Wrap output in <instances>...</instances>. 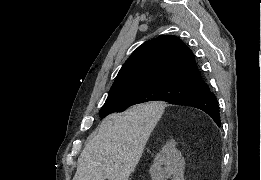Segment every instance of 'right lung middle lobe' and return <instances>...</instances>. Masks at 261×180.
Returning a JSON list of instances; mask_svg holds the SVG:
<instances>
[{
	"label": "right lung middle lobe",
	"mask_w": 261,
	"mask_h": 180,
	"mask_svg": "<svg viewBox=\"0 0 261 180\" xmlns=\"http://www.w3.org/2000/svg\"><path fill=\"white\" fill-rule=\"evenodd\" d=\"M201 83L182 80H160L128 86L110 91L105 104L100 109L103 119L110 113L123 112L128 107L154 100L170 102L181 96L200 91Z\"/></svg>",
	"instance_id": "right-lung-middle-lobe-1"
}]
</instances>
